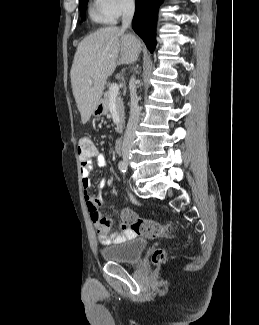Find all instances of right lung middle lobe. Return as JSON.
I'll list each match as a JSON object with an SVG mask.
<instances>
[{
	"label": "right lung middle lobe",
	"instance_id": "dd1d6c3e",
	"mask_svg": "<svg viewBox=\"0 0 259 325\" xmlns=\"http://www.w3.org/2000/svg\"><path fill=\"white\" fill-rule=\"evenodd\" d=\"M87 2L88 0H79L82 19H85V5L87 4Z\"/></svg>",
	"mask_w": 259,
	"mask_h": 325
}]
</instances>
